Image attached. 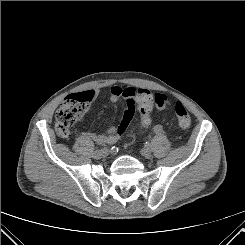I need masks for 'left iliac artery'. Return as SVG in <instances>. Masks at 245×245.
<instances>
[{
	"label": "left iliac artery",
	"mask_w": 245,
	"mask_h": 245,
	"mask_svg": "<svg viewBox=\"0 0 245 245\" xmlns=\"http://www.w3.org/2000/svg\"><path fill=\"white\" fill-rule=\"evenodd\" d=\"M154 132L155 133H161L162 132V127L161 126H155L154 127Z\"/></svg>",
	"instance_id": "1"
}]
</instances>
